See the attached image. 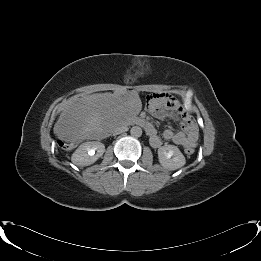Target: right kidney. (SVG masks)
<instances>
[{
    "mask_svg": "<svg viewBox=\"0 0 261 261\" xmlns=\"http://www.w3.org/2000/svg\"><path fill=\"white\" fill-rule=\"evenodd\" d=\"M105 152V146L98 141L82 143L72 154L71 161L77 166H88Z\"/></svg>",
    "mask_w": 261,
    "mask_h": 261,
    "instance_id": "ca27d5eb",
    "label": "right kidney"
}]
</instances>
